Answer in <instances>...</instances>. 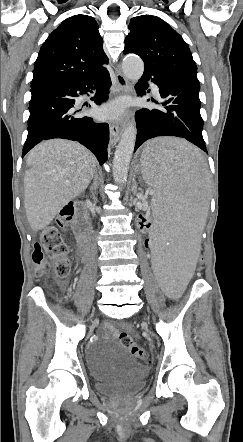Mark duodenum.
Here are the masks:
<instances>
[{
    "instance_id": "410a0bca",
    "label": "duodenum",
    "mask_w": 243,
    "mask_h": 442,
    "mask_svg": "<svg viewBox=\"0 0 243 442\" xmlns=\"http://www.w3.org/2000/svg\"><path fill=\"white\" fill-rule=\"evenodd\" d=\"M78 207V217L73 224V232L79 247V257L82 261H87L90 248L88 241L89 226L86 218V208L82 205Z\"/></svg>"
}]
</instances>
